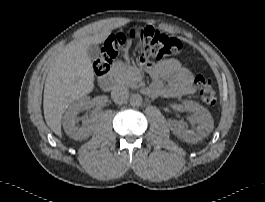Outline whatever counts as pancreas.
<instances>
[{
	"label": "pancreas",
	"mask_w": 265,
	"mask_h": 202,
	"mask_svg": "<svg viewBox=\"0 0 265 202\" xmlns=\"http://www.w3.org/2000/svg\"><path fill=\"white\" fill-rule=\"evenodd\" d=\"M112 73L117 83L127 87L137 86L138 71L134 67L117 61L113 64Z\"/></svg>",
	"instance_id": "1"
}]
</instances>
